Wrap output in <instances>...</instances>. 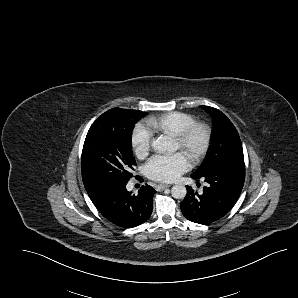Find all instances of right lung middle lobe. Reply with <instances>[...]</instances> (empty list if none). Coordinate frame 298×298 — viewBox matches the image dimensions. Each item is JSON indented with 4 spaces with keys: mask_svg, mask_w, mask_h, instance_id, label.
<instances>
[{
    "mask_svg": "<svg viewBox=\"0 0 298 298\" xmlns=\"http://www.w3.org/2000/svg\"><path fill=\"white\" fill-rule=\"evenodd\" d=\"M145 115L113 108L89 129L82 151V179L87 192L127 184L136 165L132 154V130Z\"/></svg>",
    "mask_w": 298,
    "mask_h": 298,
    "instance_id": "right-lung-middle-lobe-1",
    "label": "right lung middle lobe"
}]
</instances>
